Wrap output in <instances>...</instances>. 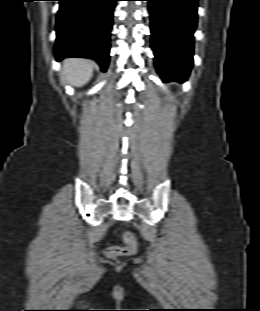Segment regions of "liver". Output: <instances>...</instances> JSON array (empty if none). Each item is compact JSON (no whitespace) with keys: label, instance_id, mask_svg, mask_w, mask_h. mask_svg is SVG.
I'll return each mask as SVG.
<instances>
[{"label":"liver","instance_id":"obj_1","mask_svg":"<svg viewBox=\"0 0 260 311\" xmlns=\"http://www.w3.org/2000/svg\"><path fill=\"white\" fill-rule=\"evenodd\" d=\"M93 62L82 58H68L63 62L61 79L76 87L85 85L92 77Z\"/></svg>","mask_w":260,"mask_h":311}]
</instances>
